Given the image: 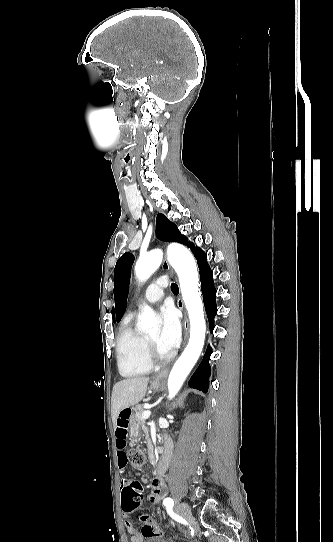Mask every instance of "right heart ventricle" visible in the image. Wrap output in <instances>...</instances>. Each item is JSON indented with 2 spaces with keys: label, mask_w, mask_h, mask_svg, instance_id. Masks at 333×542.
Wrapping results in <instances>:
<instances>
[{
  "label": "right heart ventricle",
  "mask_w": 333,
  "mask_h": 542,
  "mask_svg": "<svg viewBox=\"0 0 333 542\" xmlns=\"http://www.w3.org/2000/svg\"><path fill=\"white\" fill-rule=\"evenodd\" d=\"M144 339L135 322L126 324L117 333L115 340L117 363L122 376L135 378L152 369V364L144 355Z\"/></svg>",
  "instance_id": "right-heart-ventricle-1"
}]
</instances>
